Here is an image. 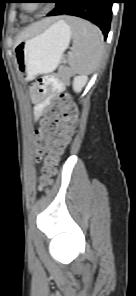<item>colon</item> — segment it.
Wrapping results in <instances>:
<instances>
[{"label":"colon","instance_id":"1","mask_svg":"<svg viewBox=\"0 0 136 296\" xmlns=\"http://www.w3.org/2000/svg\"><path fill=\"white\" fill-rule=\"evenodd\" d=\"M52 80V77H44ZM43 79V78H42ZM77 125V109L71 96L62 93L45 108L40 127L35 131V157L43 158L40 189L48 190L59 162Z\"/></svg>","mask_w":136,"mask_h":296}]
</instances>
